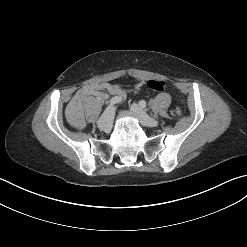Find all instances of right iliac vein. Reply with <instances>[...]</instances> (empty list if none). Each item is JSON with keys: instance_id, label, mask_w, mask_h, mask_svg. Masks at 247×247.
I'll use <instances>...</instances> for the list:
<instances>
[{"instance_id": "63e3f726", "label": "right iliac vein", "mask_w": 247, "mask_h": 247, "mask_svg": "<svg viewBox=\"0 0 247 247\" xmlns=\"http://www.w3.org/2000/svg\"><path fill=\"white\" fill-rule=\"evenodd\" d=\"M113 114H114V108L110 106L109 109L106 110L104 114L100 117L97 123V126L100 130H103L105 132L110 131Z\"/></svg>"}]
</instances>
